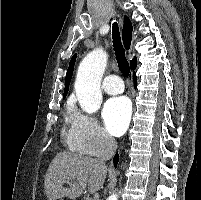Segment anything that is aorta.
<instances>
[{"mask_svg": "<svg viewBox=\"0 0 201 200\" xmlns=\"http://www.w3.org/2000/svg\"><path fill=\"white\" fill-rule=\"evenodd\" d=\"M107 65V54L100 48L94 49L79 65L75 92L81 108L87 113H95L101 106V80ZM107 200H118L116 193Z\"/></svg>", "mask_w": 201, "mask_h": 200, "instance_id": "obj_1", "label": "aorta"}]
</instances>
